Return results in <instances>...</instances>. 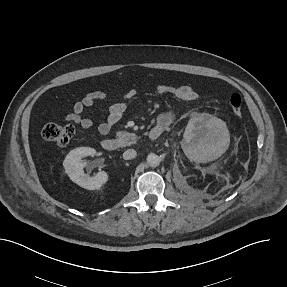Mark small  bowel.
<instances>
[{"instance_id":"obj_1","label":"small bowel","mask_w":287,"mask_h":287,"mask_svg":"<svg viewBox=\"0 0 287 287\" xmlns=\"http://www.w3.org/2000/svg\"><path fill=\"white\" fill-rule=\"evenodd\" d=\"M156 92L161 95L173 96L181 101L192 102L198 98V93L189 85L160 84L156 87ZM135 90H129L116 100H112L102 91H92L85 94L72 106V111L67 114L66 120L73 122L83 129H90L94 123L91 118L84 116L85 112L96 103L108 105V115L105 121L97 124L96 128L100 134H107L112 127L119 122L125 111V102L135 95ZM174 113L166 111L157 118L155 127L162 126L167 129L174 121Z\"/></svg>"}]
</instances>
